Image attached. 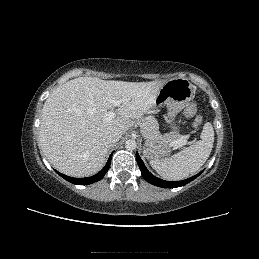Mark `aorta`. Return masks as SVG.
Returning <instances> with one entry per match:
<instances>
[{
    "label": "aorta",
    "mask_w": 259,
    "mask_h": 259,
    "mask_svg": "<svg viewBox=\"0 0 259 259\" xmlns=\"http://www.w3.org/2000/svg\"><path fill=\"white\" fill-rule=\"evenodd\" d=\"M125 147H126L127 150H131L132 151V150L136 149L137 143H136L135 140L129 139V140H127L125 142Z\"/></svg>",
    "instance_id": "1"
}]
</instances>
